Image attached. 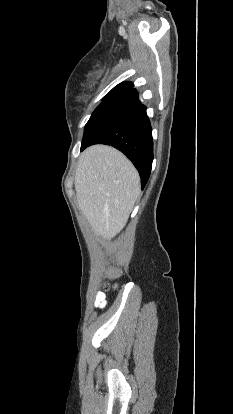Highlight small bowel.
Here are the masks:
<instances>
[{
    "label": "small bowel",
    "mask_w": 233,
    "mask_h": 414,
    "mask_svg": "<svg viewBox=\"0 0 233 414\" xmlns=\"http://www.w3.org/2000/svg\"><path fill=\"white\" fill-rule=\"evenodd\" d=\"M107 304L106 296L104 293H97L94 300V306L98 309H103Z\"/></svg>",
    "instance_id": "1"
}]
</instances>
